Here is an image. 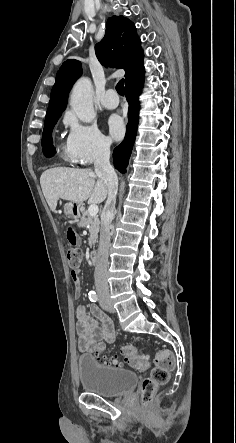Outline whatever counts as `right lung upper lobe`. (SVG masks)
<instances>
[{
	"instance_id": "right-lung-upper-lobe-1",
	"label": "right lung upper lobe",
	"mask_w": 236,
	"mask_h": 443,
	"mask_svg": "<svg viewBox=\"0 0 236 443\" xmlns=\"http://www.w3.org/2000/svg\"><path fill=\"white\" fill-rule=\"evenodd\" d=\"M135 25L123 16L109 17L104 38L96 44V56L102 65L125 70V80L143 67V51ZM82 75L81 63L71 59L59 68L51 91L45 120L61 115L67 104L68 93Z\"/></svg>"
}]
</instances>
